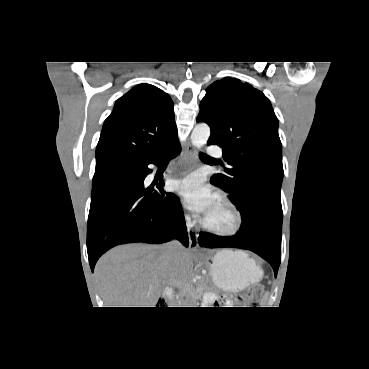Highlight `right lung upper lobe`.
I'll return each mask as SVG.
<instances>
[{
	"mask_svg": "<svg viewBox=\"0 0 369 369\" xmlns=\"http://www.w3.org/2000/svg\"><path fill=\"white\" fill-rule=\"evenodd\" d=\"M177 140L173 102L159 88L142 83L120 97L105 120L96 164L149 157Z\"/></svg>",
	"mask_w": 369,
	"mask_h": 369,
	"instance_id": "1",
	"label": "right lung upper lobe"
}]
</instances>
